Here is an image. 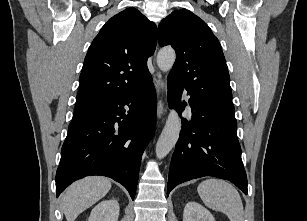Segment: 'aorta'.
Wrapping results in <instances>:
<instances>
[{
  "mask_svg": "<svg viewBox=\"0 0 307 221\" xmlns=\"http://www.w3.org/2000/svg\"><path fill=\"white\" fill-rule=\"evenodd\" d=\"M176 59V54L173 48H162L157 55V65L163 72H168L172 68ZM181 130V120L175 109H171L166 120L164 129L159 136L156 144V156L159 159L164 158L175 146L179 139Z\"/></svg>",
  "mask_w": 307,
  "mask_h": 221,
  "instance_id": "aorta-1",
  "label": "aorta"
}]
</instances>
